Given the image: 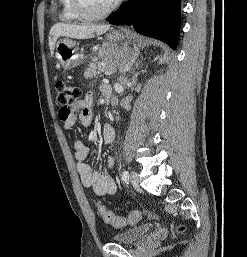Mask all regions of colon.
<instances>
[{"instance_id": "5ec220e1", "label": "colon", "mask_w": 247, "mask_h": 257, "mask_svg": "<svg viewBox=\"0 0 247 257\" xmlns=\"http://www.w3.org/2000/svg\"><path fill=\"white\" fill-rule=\"evenodd\" d=\"M57 89V104L61 107L60 109L68 110L80 97V90L78 87L67 83L58 82L56 85ZM96 208L104 220L105 223L112 225L115 228H122L137 224L141 219V213L139 211H131L126 217L115 215L111 210L106 208L102 203L96 201ZM185 229L184 225L177 224L175 230L177 232H183Z\"/></svg>"}]
</instances>
